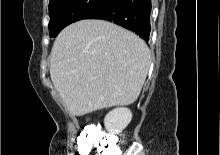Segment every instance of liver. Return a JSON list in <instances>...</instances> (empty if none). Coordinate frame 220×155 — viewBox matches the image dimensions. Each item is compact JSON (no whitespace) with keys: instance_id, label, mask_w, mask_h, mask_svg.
Wrapping results in <instances>:
<instances>
[{"instance_id":"6515ba94","label":"liver","mask_w":220,"mask_h":155,"mask_svg":"<svg viewBox=\"0 0 220 155\" xmlns=\"http://www.w3.org/2000/svg\"><path fill=\"white\" fill-rule=\"evenodd\" d=\"M151 62L146 43L103 20L64 28L51 51L50 76L71 115L135 102Z\"/></svg>"}]
</instances>
